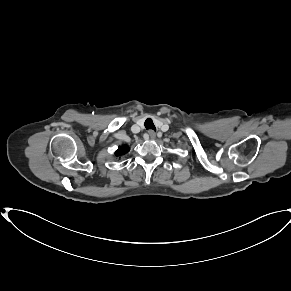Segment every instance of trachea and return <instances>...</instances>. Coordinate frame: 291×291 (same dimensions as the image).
I'll use <instances>...</instances> for the list:
<instances>
[{"label":"trachea","mask_w":291,"mask_h":291,"mask_svg":"<svg viewBox=\"0 0 291 291\" xmlns=\"http://www.w3.org/2000/svg\"><path fill=\"white\" fill-rule=\"evenodd\" d=\"M144 125H145V128H146V129H152V130L156 131V128H155V125H154L152 119L148 118V119L145 121Z\"/></svg>","instance_id":"3493384b"}]
</instances>
